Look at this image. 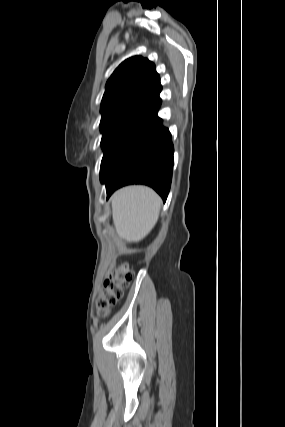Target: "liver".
Returning <instances> with one entry per match:
<instances>
[{"instance_id":"obj_1","label":"liver","mask_w":285,"mask_h":427,"mask_svg":"<svg viewBox=\"0 0 285 427\" xmlns=\"http://www.w3.org/2000/svg\"><path fill=\"white\" fill-rule=\"evenodd\" d=\"M112 217L119 238L138 242L157 223L161 198L146 186H129L115 192L111 198Z\"/></svg>"}]
</instances>
